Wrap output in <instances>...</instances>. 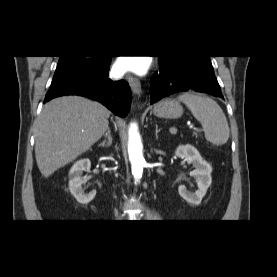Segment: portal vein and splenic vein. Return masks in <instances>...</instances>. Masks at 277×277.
I'll list each match as a JSON object with an SVG mask.
<instances>
[{"label":"portal vein and splenic vein","instance_id":"obj_1","mask_svg":"<svg viewBox=\"0 0 277 277\" xmlns=\"http://www.w3.org/2000/svg\"><path fill=\"white\" fill-rule=\"evenodd\" d=\"M189 127L192 128L193 126L190 125ZM170 132H171L172 134H174V133L177 132V129H176V128H171V129H170Z\"/></svg>","mask_w":277,"mask_h":277}]
</instances>
